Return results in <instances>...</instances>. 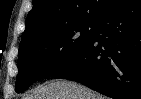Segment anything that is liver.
Here are the masks:
<instances>
[{"mask_svg": "<svg viewBox=\"0 0 141 99\" xmlns=\"http://www.w3.org/2000/svg\"><path fill=\"white\" fill-rule=\"evenodd\" d=\"M26 99H108L97 92L68 80H53L37 87Z\"/></svg>", "mask_w": 141, "mask_h": 99, "instance_id": "obj_1", "label": "liver"}]
</instances>
